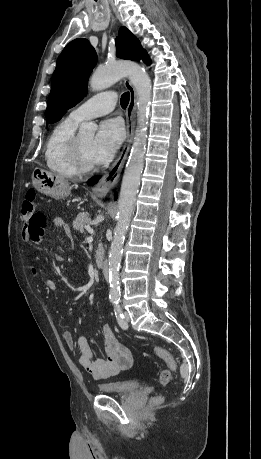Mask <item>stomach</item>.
Here are the masks:
<instances>
[{
  "label": "stomach",
  "instance_id": "obj_1",
  "mask_svg": "<svg viewBox=\"0 0 261 459\" xmlns=\"http://www.w3.org/2000/svg\"><path fill=\"white\" fill-rule=\"evenodd\" d=\"M34 188L52 198L61 199L70 195L69 183L60 175L43 169H34L32 172Z\"/></svg>",
  "mask_w": 261,
  "mask_h": 459
}]
</instances>
